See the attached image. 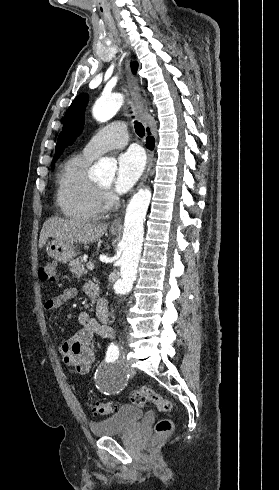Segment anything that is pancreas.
I'll return each instance as SVG.
<instances>
[{
  "label": "pancreas",
  "instance_id": "1",
  "mask_svg": "<svg viewBox=\"0 0 279 490\" xmlns=\"http://www.w3.org/2000/svg\"><path fill=\"white\" fill-rule=\"evenodd\" d=\"M69 270L73 274V278H81L84 274H87V270L84 268V264H82L80 258L77 260H72L69 262Z\"/></svg>",
  "mask_w": 279,
  "mask_h": 490
}]
</instances>
